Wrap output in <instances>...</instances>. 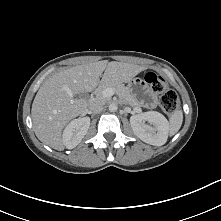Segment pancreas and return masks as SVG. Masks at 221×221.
<instances>
[{"label":"pancreas","instance_id":"cf45deb5","mask_svg":"<svg viewBox=\"0 0 221 221\" xmlns=\"http://www.w3.org/2000/svg\"><path fill=\"white\" fill-rule=\"evenodd\" d=\"M106 88H112L129 105L131 106L139 105L138 100L131 94L129 89L120 83L108 84V85L100 84L98 89H96L95 91L96 94V98L94 100L95 103L105 105L107 102L110 101L109 98L103 96V91Z\"/></svg>","mask_w":221,"mask_h":221}]
</instances>
